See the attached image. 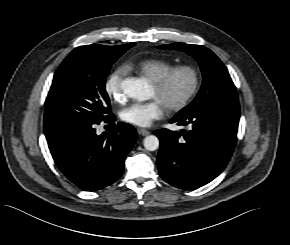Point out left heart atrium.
Returning a JSON list of instances; mask_svg holds the SVG:
<instances>
[{"label":"left heart atrium","instance_id":"1","mask_svg":"<svg viewBox=\"0 0 290 245\" xmlns=\"http://www.w3.org/2000/svg\"><path fill=\"white\" fill-rule=\"evenodd\" d=\"M165 109L166 107L159 99L153 98L147 102L134 103L123 109L121 118L130 124L148 127L163 117Z\"/></svg>","mask_w":290,"mask_h":245}]
</instances>
